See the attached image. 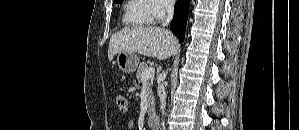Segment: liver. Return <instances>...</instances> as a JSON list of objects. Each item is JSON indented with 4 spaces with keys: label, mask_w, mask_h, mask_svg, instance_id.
<instances>
[{
    "label": "liver",
    "mask_w": 299,
    "mask_h": 130,
    "mask_svg": "<svg viewBox=\"0 0 299 130\" xmlns=\"http://www.w3.org/2000/svg\"><path fill=\"white\" fill-rule=\"evenodd\" d=\"M177 49V39L168 30L149 26L127 27L111 36L108 59L112 61L116 52H134L164 60Z\"/></svg>",
    "instance_id": "6515ba94"
}]
</instances>
